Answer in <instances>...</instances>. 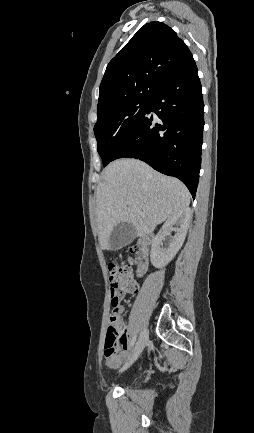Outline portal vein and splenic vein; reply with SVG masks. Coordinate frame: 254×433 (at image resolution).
Returning a JSON list of instances; mask_svg holds the SVG:
<instances>
[{
    "instance_id": "portal-vein-and-splenic-vein-1",
    "label": "portal vein and splenic vein",
    "mask_w": 254,
    "mask_h": 433,
    "mask_svg": "<svg viewBox=\"0 0 254 433\" xmlns=\"http://www.w3.org/2000/svg\"><path fill=\"white\" fill-rule=\"evenodd\" d=\"M134 211L136 212V213H140V210L139 209H134Z\"/></svg>"
}]
</instances>
